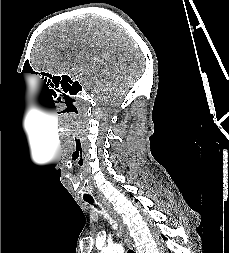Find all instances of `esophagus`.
I'll list each match as a JSON object with an SVG mask.
<instances>
[{"instance_id": "1", "label": "esophagus", "mask_w": 229, "mask_h": 253, "mask_svg": "<svg viewBox=\"0 0 229 253\" xmlns=\"http://www.w3.org/2000/svg\"><path fill=\"white\" fill-rule=\"evenodd\" d=\"M102 203L106 206V209L108 210L110 215H112V217L118 223L119 229L124 234L128 246L133 248L134 244H133L132 238L129 235V230L124 224L122 217L113 209V207L107 201L102 200Z\"/></svg>"}]
</instances>
